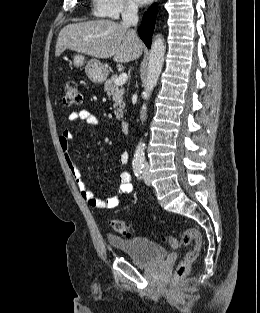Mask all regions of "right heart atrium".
<instances>
[{
    "label": "right heart atrium",
    "instance_id": "right-heart-atrium-1",
    "mask_svg": "<svg viewBox=\"0 0 260 313\" xmlns=\"http://www.w3.org/2000/svg\"><path fill=\"white\" fill-rule=\"evenodd\" d=\"M93 11L99 17L118 19L136 13L137 7L133 0H93Z\"/></svg>",
    "mask_w": 260,
    "mask_h": 313
}]
</instances>
